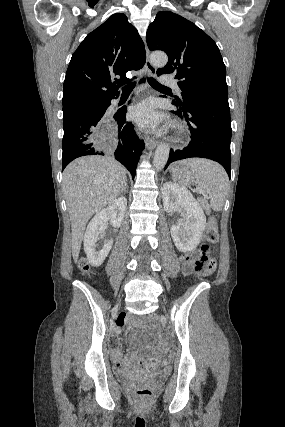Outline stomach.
Here are the masks:
<instances>
[{
  "label": "stomach",
  "mask_w": 285,
  "mask_h": 427,
  "mask_svg": "<svg viewBox=\"0 0 285 427\" xmlns=\"http://www.w3.org/2000/svg\"><path fill=\"white\" fill-rule=\"evenodd\" d=\"M171 173L173 180L179 184L191 186L197 183L195 173L185 165H173Z\"/></svg>",
  "instance_id": "obj_1"
}]
</instances>
